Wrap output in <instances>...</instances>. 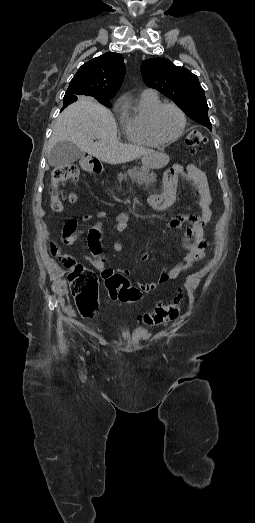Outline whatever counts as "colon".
Masks as SVG:
<instances>
[{"mask_svg":"<svg viewBox=\"0 0 255 523\" xmlns=\"http://www.w3.org/2000/svg\"><path fill=\"white\" fill-rule=\"evenodd\" d=\"M206 138L197 129H191L185 139L188 146L199 148L204 144ZM79 169L75 165H63L56 167L52 172L51 205L54 211L61 212L64 209L61 186L67 181H77ZM75 193L69 195V201L75 202ZM49 251L68 269V281L78 311L83 317H92L98 310V280L96 274L80 264L72 255L62 251L55 242L49 243ZM105 285L112 300H120L128 303L139 302L143 298L142 291L130 285L128 280L113 273L105 277ZM181 295L175 296L166 303L158 304L155 309L144 316V322L149 325H161L177 319L180 313Z\"/></svg>","mask_w":255,"mask_h":523,"instance_id":"5ec220e1","label":"colon"}]
</instances>
